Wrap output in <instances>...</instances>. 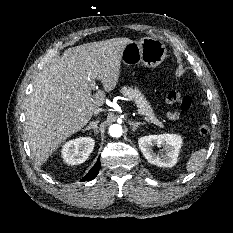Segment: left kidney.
<instances>
[{"label": "left kidney", "mask_w": 233, "mask_h": 233, "mask_svg": "<svg viewBox=\"0 0 233 233\" xmlns=\"http://www.w3.org/2000/svg\"><path fill=\"white\" fill-rule=\"evenodd\" d=\"M139 148L147 161L160 167H173L178 158L182 138L177 134H161L143 136L138 140ZM154 146H163L160 154L153 150Z\"/></svg>", "instance_id": "1"}]
</instances>
